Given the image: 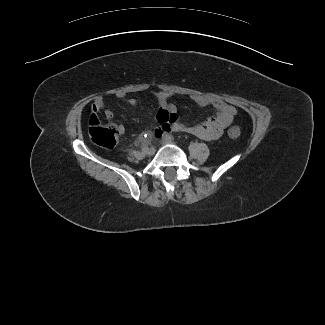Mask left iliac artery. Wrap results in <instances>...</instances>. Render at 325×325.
<instances>
[{"mask_svg": "<svg viewBox=\"0 0 325 325\" xmlns=\"http://www.w3.org/2000/svg\"><path fill=\"white\" fill-rule=\"evenodd\" d=\"M165 138H166V139H169V140H173V139H174L173 136L170 135V134H166V135H165Z\"/></svg>", "mask_w": 325, "mask_h": 325, "instance_id": "44dca946", "label": "left iliac artery"}]
</instances>
